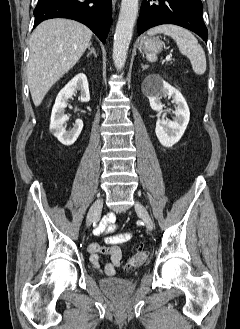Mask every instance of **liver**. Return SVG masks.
Segmentation results:
<instances>
[{"label":"liver","instance_id":"liver-1","mask_svg":"<svg viewBox=\"0 0 240 329\" xmlns=\"http://www.w3.org/2000/svg\"><path fill=\"white\" fill-rule=\"evenodd\" d=\"M92 32L73 20L51 19L39 24L31 35L27 80L35 106L50 88L81 58Z\"/></svg>","mask_w":240,"mask_h":329}]
</instances>
